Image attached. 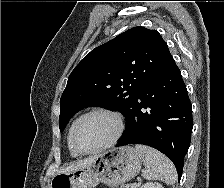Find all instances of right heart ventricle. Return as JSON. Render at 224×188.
I'll return each instance as SVG.
<instances>
[{"mask_svg": "<svg viewBox=\"0 0 224 188\" xmlns=\"http://www.w3.org/2000/svg\"><path fill=\"white\" fill-rule=\"evenodd\" d=\"M76 121H77V119L75 121H73V123L71 124L69 132H68V136H67V145H68L69 153L72 157H77L79 155L73 150L72 145H71V133H72V129H73Z\"/></svg>", "mask_w": 224, "mask_h": 188, "instance_id": "1", "label": "right heart ventricle"}]
</instances>
